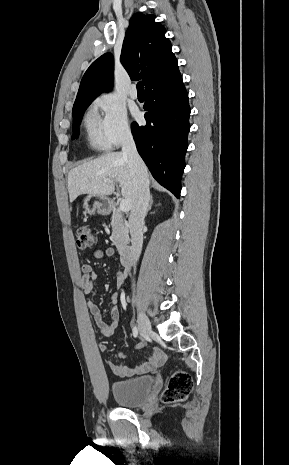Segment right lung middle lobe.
I'll return each mask as SVG.
<instances>
[{"label": "right lung middle lobe", "mask_w": 289, "mask_h": 465, "mask_svg": "<svg viewBox=\"0 0 289 465\" xmlns=\"http://www.w3.org/2000/svg\"><path fill=\"white\" fill-rule=\"evenodd\" d=\"M93 100H85L81 102L74 103L73 106V136L72 138H77L79 135V125L81 123L82 116L86 108L90 105Z\"/></svg>", "instance_id": "right-lung-middle-lobe-1"}]
</instances>
